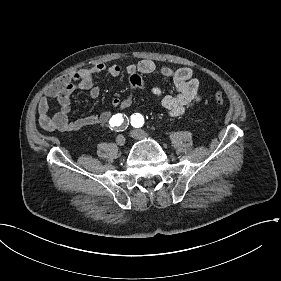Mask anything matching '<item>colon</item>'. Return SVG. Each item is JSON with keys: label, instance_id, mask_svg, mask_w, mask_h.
I'll return each mask as SVG.
<instances>
[{"label": "colon", "instance_id": "obj_1", "mask_svg": "<svg viewBox=\"0 0 281 281\" xmlns=\"http://www.w3.org/2000/svg\"><path fill=\"white\" fill-rule=\"evenodd\" d=\"M225 96L222 93H216L213 97V101L216 104H224L225 103Z\"/></svg>", "mask_w": 281, "mask_h": 281}]
</instances>
